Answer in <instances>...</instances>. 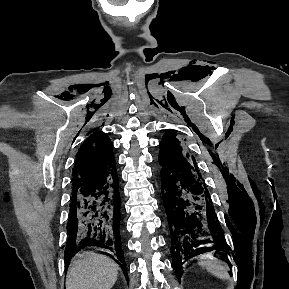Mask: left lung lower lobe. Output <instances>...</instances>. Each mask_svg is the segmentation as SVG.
<instances>
[{"label": "left lung lower lobe", "instance_id": "1", "mask_svg": "<svg viewBox=\"0 0 289 289\" xmlns=\"http://www.w3.org/2000/svg\"><path fill=\"white\" fill-rule=\"evenodd\" d=\"M158 161L172 267L180 280L182 265L188 259L204 252H228V249L200 173L185 158L166 151H160Z\"/></svg>", "mask_w": 289, "mask_h": 289}]
</instances>
